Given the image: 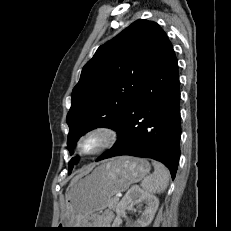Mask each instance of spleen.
Listing matches in <instances>:
<instances>
[{"label": "spleen", "mask_w": 231, "mask_h": 231, "mask_svg": "<svg viewBox=\"0 0 231 231\" xmlns=\"http://www.w3.org/2000/svg\"><path fill=\"white\" fill-rule=\"evenodd\" d=\"M152 164L154 172L152 175L144 178L141 186L148 193H162L166 190L169 183V171L159 162L153 161Z\"/></svg>", "instance_id": "1"}]
</instances>
